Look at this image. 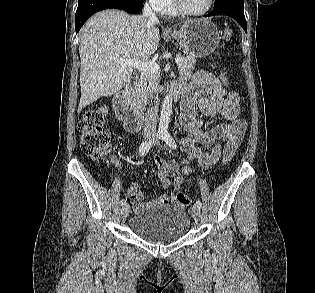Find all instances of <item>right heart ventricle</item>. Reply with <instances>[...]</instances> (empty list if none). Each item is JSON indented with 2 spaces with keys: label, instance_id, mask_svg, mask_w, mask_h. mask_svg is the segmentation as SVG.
Returning a JSON list of instances; mask_svg holds the SVG:
<instances>
[{
  "label": "right heart ventricle",
  "instance_id": "e07e8e85",
  "mask_svg": "<svg viewBox=\"0 0 315 293\" xmlns=\"http://www.w3.org/2000/svg\"><path fill=\"white\" fill-rule=\"evenodd\" d=\"M163 14L167 16H175L177 14L176 10L174 9L172 0H168L165 8L163 9Z\"/></svg>",
  "mask_w": 315,
  "mask_h": 293
}]
</instances>
